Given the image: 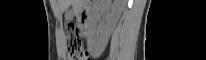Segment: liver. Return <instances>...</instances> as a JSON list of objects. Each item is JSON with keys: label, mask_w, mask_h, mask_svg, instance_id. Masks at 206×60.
Here are the masks:
<instances>
[{"label": "liver", "mask_w": 206, "mask_h": 60, "mask_svg": "<svg viewBox=\"0 0 206 60\" xmlns=\"http://www.w3.org/2000/svg\"><path fill=\"white\" fill-rule=\"evenodd\" d=\"M60 10L63 12L75 2V0H57ZM110 4L111 1H108ZM126 1L125 0H114L111 14L113 16L114 22H117L118 18L121 15V12L124 8Z\"/></svg>", "instance_id": "liver-1"}]
</instances>
